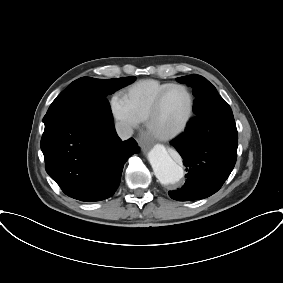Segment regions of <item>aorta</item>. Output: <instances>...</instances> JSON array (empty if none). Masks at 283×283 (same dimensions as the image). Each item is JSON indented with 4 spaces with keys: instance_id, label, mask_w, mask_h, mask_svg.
Instances as JSON below:
<instances>
[{
    "instance_id": "762f6f07",
    "label": "aorta",
    "mask_w": 283,
    "mask_h": 283,
    "mask_svg": "<svg viewBox=\"0 0 283 283\" xmlns=\"http://www.w3.org/2000/svg\"><path fill=\"white\" fill-rule=\"evenodd\" d=\"M148 160L160 183L174 184L184 176L183 168L168 153L163 145H155L148 153Z\"/></svg>"
}]
</instances>
